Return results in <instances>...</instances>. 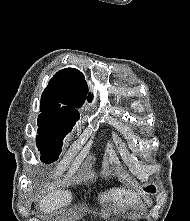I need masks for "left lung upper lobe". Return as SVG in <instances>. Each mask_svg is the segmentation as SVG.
I'll use <instances>...</instances> for the list:
<instances>
[{"instance_id":"5c2ea615","label":"left lung upper lobe","mask_w":190,"mask_h":221,"mask_svg":"<svg viewBox=\"0 0 190 221\" xmlns=\"http://www.w3.org/2000/svg\"><path fill=\"white\" fill-rule=\"evenodd\" d=\"M147 191L154 192L155 191V187L154 186H150V187L147 188Z\"/></svg>"}]
</instances>
